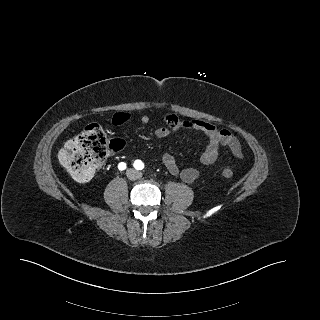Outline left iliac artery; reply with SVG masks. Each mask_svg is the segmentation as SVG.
Returning a JSON list of instances; mask_svg holds the SVG:
<instances>
[{
  "mask_svg": "<svg viewBox=\"0 0 320 320\" xmlns=\"http://www.w3.org/2000/svg\"><path fill=\"white\" fill-rule=\"evenodd\" d=\"M135 169L142 170L144 168V163L141 160H136L133 164Z\"/></svg>",
  "mask_w": 320,
  "mask_h": 320,
  "instance_id": "left-iliac-artery-1",
  "label": "left iliac artery"
}]
</instances>
